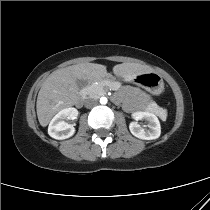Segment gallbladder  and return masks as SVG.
Returning a JSON list of instances; mask_svg holds the SVG:
<instances>
[{
	"mask_svg": "<svg viewBox=\"0 0 210 210\" xmlns=\"http://www.w3.org/2000/svg\"><path fill=\"white\" fill-rule=\"evenodd\" d=\"M77 85H78L79 89H82L87 85V81H85L83 79H78L77 80Z\"/></svg>",
	"mask_w": 210,
	"mask_h": 210,
	"instance_id": "1",
	"label": "gallbladder"
}]
</instances>
